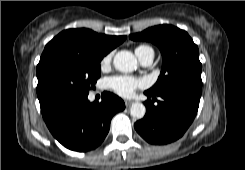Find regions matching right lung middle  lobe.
I'll return each mask as SVG.
<instances>
[{
	"label": "right lung middle lobe",
	"mask_w": 245,
	"mask_h": 170,
	"mask_svg": "<svg viewBox=\"0 0 245 170\" xmlns=\"http://www.w3.org/2000/svg\"><path fill=\"white\" fill-rule=\"evenodd\" d=\"M72 51H44L37 65L40 107L71 96L86 95L100 77V61Z\"/></svg>",
	"instance_id": "dd1d6c3e"
}]
</instances>
